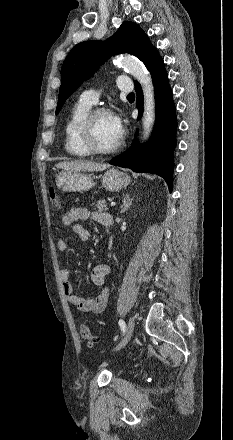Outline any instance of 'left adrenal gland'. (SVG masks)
Here are the masks:
<instances>
[{"mask_svg": "<svg viewBox=\"0 0 233 440\" xmlns=\"http://www.w3.org/2000/svg\"><path fill=\"white\" fill-rule=\"evenodd\" d=\"M132 198L130 199L129 194H125L123 201H122V206H121V213H124L132 204Z\"/></svg>", "mask_w": 233, "mask_h": 440, "instance_id": "a2214340", "label": "left adrenal gland"}]
</instances>
